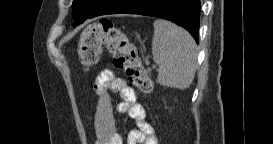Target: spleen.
<instances>
[{"mask_svg": "<svg viewBox=\"0 0 273 144\" xmlns=\"http://www.w3.org/2000/svg\"><path fill=\"white\" fill-rule=\"evenodd\" d=\"M152 55L159 65L157 82L164 87L188 88L196 71V43L182 27L166 20L153 23Z\"/></svg>", "mask_w": 273, "mask_h": 144, "instance_id": "3e777b00", "label": "spleen"}]
</instances>
